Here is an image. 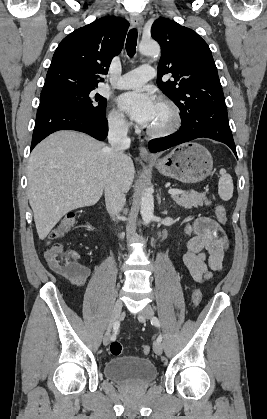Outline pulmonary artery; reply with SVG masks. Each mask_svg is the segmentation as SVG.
<instances>
[{"label": "pulmonary artery", "instance_id": "1", "mask_svg": "<svg viewBox=\"0 0 267 419\" xmlns=\"http://www.w3.org/2000/svg\"><path fill=\"white\" fill-rule=\"evenodd\" d=\"M155 76V69L150 65H141L122 75L116 86L120 89L135 88L143 85Z\"/></svg>", "mask_w": 267, "mask_h": 419}]
</instances>
